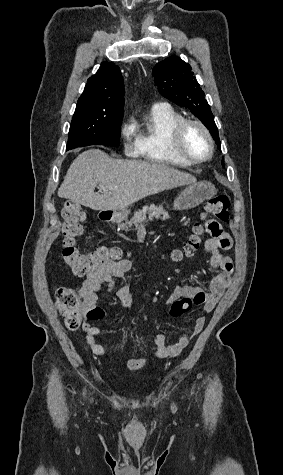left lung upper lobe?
I'll return each mask as SVG.
<instances>
[{
	"label": "left lung upper lobe",
	"instance_id": "5c2ea615",
	"mask_svg": "<svg viewBox=\"0 0 283 475\" xmlns=\"http://www.w3.org/2000/svg\"><path fill=\"white\" fill-rule=\"evenodd\" d=\"M193 74L191 66L177 56L165 59L153 69L155 84L161 95L178 105L189 108L209 129L218 148L221 149L213 114L207 100L204 99L205 94Z\"/></svg>",
	"mask_w": 283,
	"mask_h": 475
}]
</instances>
